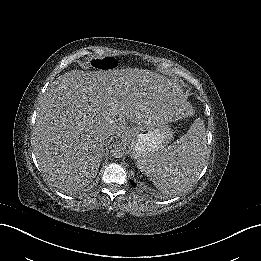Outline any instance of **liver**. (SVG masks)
<instances>
[{
    "label": "liver",
    "instance_id": "1",
    "mask_svg": "<svg viewBox=\"0 0 261 261\" xmlns=\"http://www.w3.org/2000/svg\"><path fill=\"white\" fill-rule=\"evenodd\" d=\"M123 107L140 123L160 116L164 103L138 102L109 72L77 70L62 78L40 101L35 125L39 166L61 181L90 174L101 161L104 140L121 132L125 120L116 115Z\"/></svg>",
    "mask_w": 261,
    "mask_h": 261
}]
</instances>
